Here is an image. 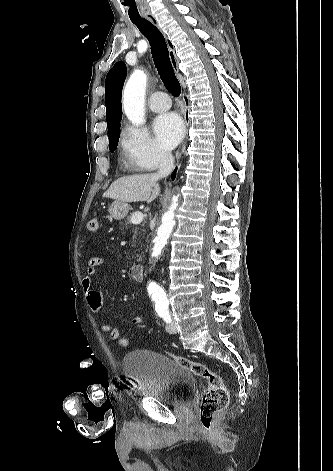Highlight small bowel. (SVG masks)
Here are the masks:
<instances>
[{
	"label": "small bowel",
	"mask_w": 333,
	"mask_h": 471,
	"mask_svg": "<svg viewBox=\"0 0 333 471\" xmlns=\"http://www.w3.org/2000/svg\"><path fill=\"white\" fill-rule=\"evenodd\" d=\"M102 263L103 259L99 256H94L90 258L86 266L85 274L82 278V287L85 293L88 306L95 313H99L102 308L103 296L102 293L94 287L93 278L97 268L102 265ZM131 322L134 325H139L142 323V318L140 316H134L131 319ZM100 328L102 331L109 333L110 338L113 341H116L120 336V330L105 321L104 319L100 320Z\"/></svg>",
	"instance_id": "c3829d8e"
}]
</instances>
